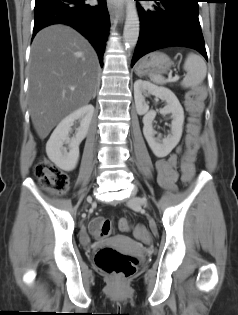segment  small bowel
I'll return each instance as SVG.
<instances>
[{
  "mask_svg": "<svg viewBox=\"0 0 238 315\" xmlns=\"http://www.w3.org/2000/svg\"><path fill=\"white\" fill-rule=\"evenodd\" d=\"M180 152V148L177 149V153ZM177 153L171 154L167 159H160L156 163L157 170V180L159 185L167 190L173 191L175 189V184L178 179L177 166ZM192 175L183 176L184 181H189ZM144 242L148 241V237L141 238Z\"/></svg>",
  "mask_w": 238,
  "mask_h": 315,
  "instance_id": "small-bowel-1",
  "label": "small bowel"
}]
</instances>
